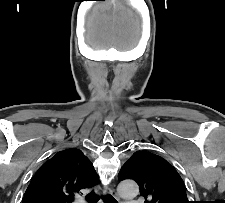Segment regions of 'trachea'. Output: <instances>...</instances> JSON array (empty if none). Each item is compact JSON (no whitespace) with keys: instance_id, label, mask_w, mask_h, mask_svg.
Masks as SVG:
<instances>
[{"instance_id":"3493384b","label":"trachea","mask_w":225,"mask_h":203,"mask_svg":"<svg viewBox=\"0 0 225 203\" xmlns=\"http://www.w3.org/2000/svg\"><path fill=\"white\" fill-rule=\"evenodd\" d=\"M104 203H117L116 200L110 196V195H107L106 197H102ZM86 200L89 202V203H97L99 201V196L96 195L93 191L90 192L87 196H86Z\"/></svg>"}]
</instances>
